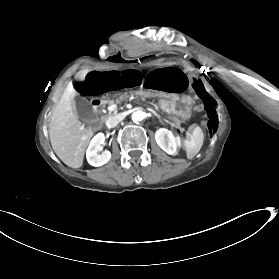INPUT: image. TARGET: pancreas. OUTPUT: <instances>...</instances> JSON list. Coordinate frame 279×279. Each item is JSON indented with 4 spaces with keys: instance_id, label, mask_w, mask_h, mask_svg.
Wrapping results in <instances>:
<instances>
[{
    "instance_id": "1",
    "label": "pancreas",
    "mask_w": 279,
    "mask_h": 279,
    "mask_svg": "<svg viewBox=\"0 0 279 279\" xmlns=\"http://www.w3.org/2000/svg\"><path fill=\"white\" fill-rule=\"evenodd\" d=\"M129 97V94L128 93H122L119 97L116 98V100H109L108 101V105H113L114 103H121L123 100H125L126 98Z\"/></svg>"
}]
</instances>
